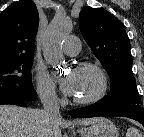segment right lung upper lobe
I'll return each instance as SVG.
<instances>
[{
  "label": "right lung upper lobe",
  "instance_id": "cb5924a9",
  "mask_svg": "<svg viewBox=\"0 0 144 137\" xmlns=\"http://www.w3.org/2000/svg\"><path fill=\"white\" fill-rule=\"evenodd\" d=\"M39 14L32 0H20L0 14V63L34 55Z\"/></svg>",
  "mask_w": 144,
  "mask_h": 137
}]
</instances>
